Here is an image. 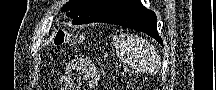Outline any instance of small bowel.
Returning <instances> with one entry per match:
<instances>
[{"label":"small bowel","mask_w":216,"mask_h":90,"mask_svg":"<svg viewBox=\"0 0 216 90\" xmlns=\"http://www.w3.org/2000/svg\"><path fill=\"white\" fill-rule=\"evenodd\" d=\"M75 70H80L83 76V80L88 88H91L95 85L99 79V73L97 68L93 64H69L64 74L60 77V87L58 90H73L74 81L71 77V73Z\"/></svg>","instance_id":"obj_1"}]
</instances>
